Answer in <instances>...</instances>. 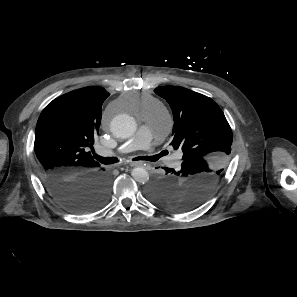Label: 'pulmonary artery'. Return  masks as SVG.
<instances>
[{
	"mask_svg": "<svg viewBox=\"0 0 297 297\" xmlns=\"http://www.w3.org/2000/svg\"><path fill=\"white\" fill-rule=\"evenodd\" d=\"M170 123L171 118L167 113H165L164 119L154 118L148 120L133 138L119 147V150L124 153H129L137 149L152 151V140L162 132L165 125H169Z\"/></svg>",
	"mask_w": 297,
	"mask_h": 297,
	"instance_id": "obj_1",
	"label": "pulmonary artery"
}]
</instances>
